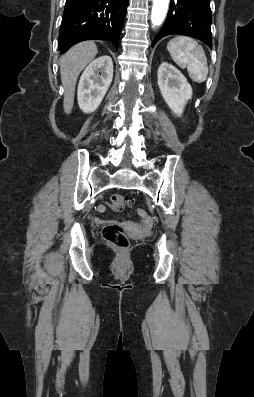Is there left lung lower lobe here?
<instances>
[{
  "label": "left lung lower lobe",
  "instance_id": "1",
  "mask_svg": "<svg viewBox=\"0 0 254 397\" xmlns=\"http://www.w3.org/2000/svg\"><path fill=\"white\" fill-rule=\"evenodd\" d=\"M170 34L191 36L212 48L210 0H171L166 21L152 45Z\"/></svg>",
  "mask_w": 254,
  "mask_h": 397
}]
</instances>
